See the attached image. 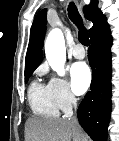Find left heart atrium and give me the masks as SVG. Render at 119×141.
Here are the masks:
<instances>
[{
  "label": "left heart atrium",
  "instance_id": "1",
  "mask_svg": "<svg viewBox=\"0 0 119 141\" xmlns=\"http://www.w3.org/2000/svg\"><path fill=\"white\" fill-rule=\"evenodd\" d=\"M92 74L86 63H75L71 68V83L77 94H83L90 86Z\"/></svg>",
  "mask_w": 119,
  "mask_h": 141
}]
</instances>
